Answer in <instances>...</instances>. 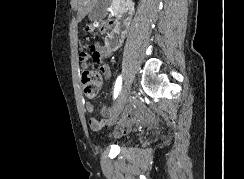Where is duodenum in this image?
<instances>
[{
	"instance_id": "obj_1",
	"label": "duodenum",
	"mask_w": 244,
	"mask_h": 179,
	"mask_svg": "<svg viewBox=\"0 0 244 179\" xmlns=\"http://www.w3.org/2000/svg\"><path fill=\"white\" fill-rule=\"evenodd\" d=\"M135 2L131 0H118L115 3L114 16L119 20L118 31L106 37V43L114 46L122 42L123 37L126 35L131 17L134 12Z\"/></svg>"
}]
</instances>
